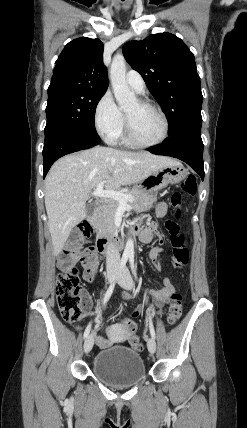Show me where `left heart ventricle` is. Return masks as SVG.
<instances>
[{
    "label": "left heart ventricle",
    "instance_id": "left-heart-ventricle-1",
    "mask_svg": "<svg viewBox=\"0 0 247 428\" xmlns=\"http://www.w3.org/2000/svg\"><path fill=\"white\" fill-rule=\"evenodd\" d=\"M125 115L134 135L139 140L153 142L161 137L163 124L154 110L134 101L125 109Z\"/></svg>",
    "mask_w": 247,
    "mask_h": 428
}]
</instances>
